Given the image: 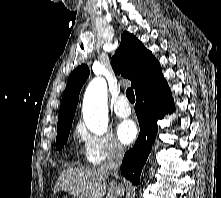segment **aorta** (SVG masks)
Wrapping results in <instances>:
<instances>
[{
    "mask_svg": "<svg viewBox=\"0 0 221 198\" xmlns=\"http://www.w3.org/2000/svg\"><path fill=\"white\" fill-rule=\"evenodd\" d=\"M83 118L94 134L103 135L108 129L107 84L96 77L87 86L83 99Z\"/></svg>",
    "mask_w": 221,
    "mask_h": 198,
    "instance_id": "1",
    "label": "aorta"
}]
</instances>
